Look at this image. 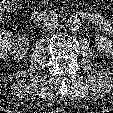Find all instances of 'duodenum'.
Here are the masks:
<instances>
[{"label":"duodenum","instance_id":"duodenum-1","mask_svg":"<svg viewBox=\"0 0 113 113\" xmlns=\"http://www.w3.org/2000/svg\"><path fill=\"white\" fill-rule=\"evenodd\" d=\"M80 15H81V17L87 19V14L81 13ZM33 18L34 19L41 18V19H48V20H56L60 17L55 12H51V11H47V10H40L33 15Z\"/></svg>","mask_w":113,"mask_h":113}]
</instances>
